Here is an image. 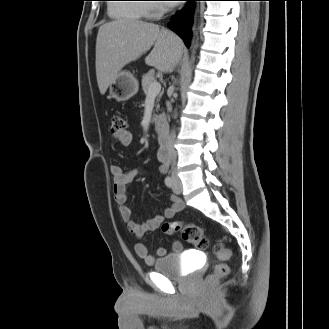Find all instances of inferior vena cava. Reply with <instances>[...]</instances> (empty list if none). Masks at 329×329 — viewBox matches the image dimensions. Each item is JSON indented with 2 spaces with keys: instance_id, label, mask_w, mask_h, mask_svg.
Listing matches in <instances>:
<instances>
[{
  "instance_id": "1",
  "label": "inferior vena cava",
  "mask_w": 329,
  "mask_h": 329,
  "mask_svg": "<svg viewBox=\"0 0 329 329\" xmlns=\"http://www.w3.org/2000/svg\"><path fill=\"white\" fill-rule=\"evenodd\" d=\"M174 138H175V134H174V132H172L171 133V136L169 137L167 147H168V150H169V154L171 156V160L173 162V165H172V177L173 178H176V169H175L176 153H175L174 148H173Z\"/></svg>"
}]
</instances>
